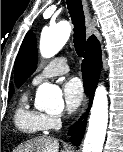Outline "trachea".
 I'll use <instances>...</instances> for the list:
<instances>
[{
    "instance_id": "1",
    "label": "trachea",
    "mask_w": 123,
    "mask_h": 152,
    "mask_svg": "<svg viewBox=\"0 0 123 152\" xmlns=\"http://www.w3.org/2000/svg\"><path fill=\"white\" fill-rule=\"evenodd\" d=\"M67 8L69 10L72 23L74 25V46L78 56H82L85 44H86V33H85V17L83 13V7L81 0H66Z\"/></svg>"
}]
</instances>
